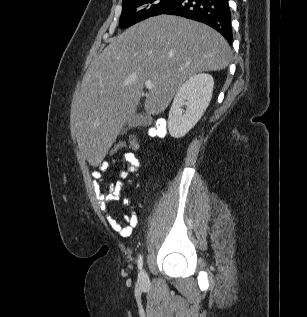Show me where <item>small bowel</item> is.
Returning a JSON list of instances; mask_svg holds the SVG:
<instances>
[{"instance_id": "obj_1", "label": "small bowel", "mask_w": 307, "mask_h": 317, "mask_svg": "<svg viewBox=\"0 0 307 317\" xmlns=\"http://www.w3.org/2000/svg\"><path fill=\"white\" fill-rule=\"evenodd\" d=\"M119 165H122L125 168L118 170V175L123 180L110 182L106 190L102 189L101 183L104 180V176L108 174L112 168ZM139 169L140 161L135 154L132 152H126L121 156L101 162L92 174L95 180L94 188L98 197L100 208L106 215L111 227L123 237L131 235L133 229L138 224V218L136 214L132 212L130 215L125 216L123 221H119L112 215L109 206L113 201H118L122 198V190L126 185L124 179L128 177L129 173H135L139 171ZM123 203L127 206H131L127 197L123 198Z\"/></svg>"}]
</instances>
